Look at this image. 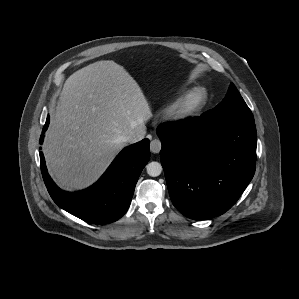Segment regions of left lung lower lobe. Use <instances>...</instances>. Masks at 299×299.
<instances>
[{
    "mask_svg": "<svg viewBox=\"0 0 299 299\" xmlns=\"http://www.w3.org/2000/svg\"><path fill=\"white\" fill-rule=\"evenodd\" d=\"M170 198L186 217L204 220L229 210L253 178L254 122L214 123L202 115L158 126Z\"/></svg>",
    "mask_w": 299,
    "mask_h": 299,
    "instance_id": "obj_1",
    "label": "left lung lower lobe"
}]
</instances>
